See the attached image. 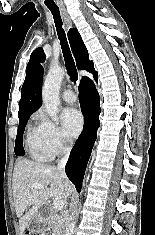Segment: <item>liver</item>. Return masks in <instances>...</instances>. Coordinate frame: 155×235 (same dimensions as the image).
Masks as SVG:
<instances>
[{"instance_id":"6515ba94","label":"liver","mask_w":155,"mask_h":235,"mask_svg":"<svg viewBox=\"0 0 155 235\" xmlns=\"http://www.w3.org/2000/svg\"><path fill=\"white\" fill-rule=\"evenodd\" d=\"M32 183L42 184L44 188H31ZM12 187L19 235H23L32 217L49 198L58 197L65 201L74 190L62 170L24 158L15 164Z\"/></svg>"}]
</instances>
